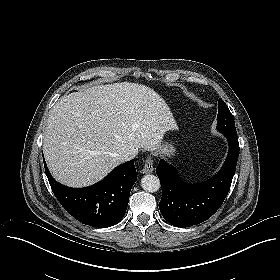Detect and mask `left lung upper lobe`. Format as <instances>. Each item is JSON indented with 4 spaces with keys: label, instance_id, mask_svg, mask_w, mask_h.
<instances>
[{
    "label": "left lung upper lobe",
    "instance_id": "left-lung-upper-lobe-1",
    "mask_svg": "<svg viewBox=\"0 0 280 280\" xmlns=\"http://www.w3.org/2000/svg\"><path fill=\"white\" fill-rule=\"evenodd\" d=\"M217 129L224 135H236L234 119L225 102L220 98L218 101Z\"/></svg>",
    "mask_w": 280,
    "mask_h": 280
}]
</instances>
